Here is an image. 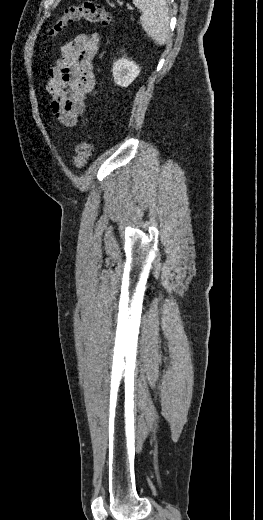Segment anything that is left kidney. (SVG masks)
I'll list each match as a JSON object with an SVG mask.
<instances>
[{
	"label": "left kidney",
	"mask_w": 263,
	"mask_h": 520,
	"mask_svg": "<svg viewBox=\"0 0 263 520\" xmlns=\"http://www.w3.org/2000/svg\"><path fill=\"white\" fill-rule=\"evenodd\" d=\"M112 72L115 83L121 87H127L139 75L140 68L133 61L122 58L113 63Z\"/></svg>",
	"instance_id": "left-kidney-1"
}]
</instances>
